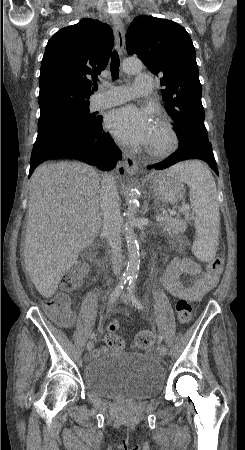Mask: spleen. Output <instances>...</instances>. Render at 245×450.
Returning a JSON list of instances; mask_svg holds the SVG:
<instances>
[{
	"label": "spleen",
	"instance_id": "1",
	"mask_svg": "<svg viewBox=\"0 0 245 450\" xmlns=\"http://www.w3.org/2000/svg\"><path fill=\"white\" fill-rule=\"evenodd\" d=\"M190 188L192 214L195 216L197 239L193 254L201 261H210L217 252L220 232L218 193L210 170L200 161L178 163L169 169Z\"/></svg>",
	"mask_w": 245,
	"mask_h": 450
}]
</instances>
